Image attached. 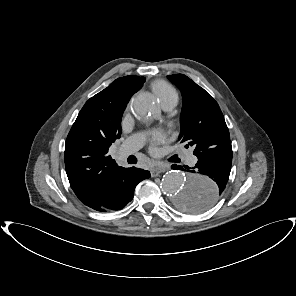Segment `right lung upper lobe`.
<instances>
[{
  "mask_svg": "<svg viewBox=\"0 0 296 296\" xmlns=\"http://www.w3.org/2000/svg\"><path fill=\"white\" fill-rule=\"evenodd\" d=\"M144 81L139 76L113 81L85 103L67 136L64 158L70 186L90 208L125 170L108 155V149L120 137L123 111Z\"/></svg>",
  "mask_w": 296,
  "mask_h": 296,
  "instance_id": "1",
  "label": "right lung upper lobe"
}]
</instances>
